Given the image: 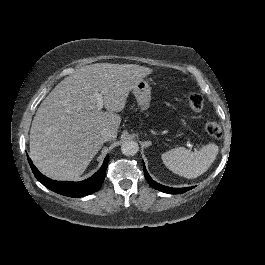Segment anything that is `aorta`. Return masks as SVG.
Returning <instances> with one entry per match:
<instances>
[{"instance_id":"1","label":"aorta","mask_w":265,"mask_h":265,"mask_svg":"<svg viewBox=\"0 0 265 265\" xmlns=\"http://www.w3.org/2000/svg\"><path fill=\"white\" fill-rule=\"evenodd\" d=\"M139 145L136 141L128 139L123 141L121 151L127 156H133L137 153Z\"/></svg>"}]
</instances>
